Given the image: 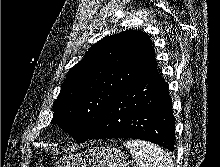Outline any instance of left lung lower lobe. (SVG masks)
I'll return each instance as SVG.
<instances>
[{
    "label": "left lung lower lobe",
    "mask_w": 220,
    "mask_h": 167,
    "mask_svg": "<svg viewBox=\"0 0 220 167\" xmlns=\"http://www.w3.org/2000/svg\"><path fill=\"white\" fill-rule=\"evenodd\" d=\"M171 97L164 79L154 69L122 88L109 104L95 131L85 140L136 138L174 150Z\"/></svg>",
    "instance_id": "left-lung-lower-lobe-1"
}]
</instances>
